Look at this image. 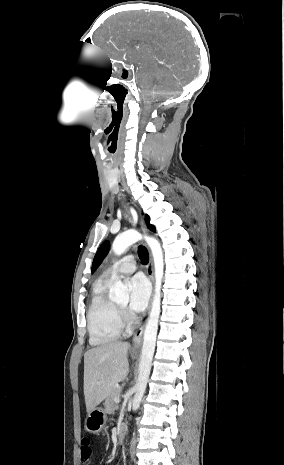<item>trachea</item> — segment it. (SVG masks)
I'll return each mask as SVG.
<instances>
[{
	"label": "trachea",
	"instance_id": "trachea-1",
	"mask_svg": "<svg viewBox=\"0 0 284 465\" xmlns=\"http://www.w3.org/2000/svg\"><path fill=\"white\" fill-rule=\"evenodd\" d=\"M138 255H139L141 262L144 263L145 265L149 262V254L147 252V249L143 247L142 245L138 247Z\"/></svg>",
	"mask_w": 284,
	"mask_h": 465
}]
</instances>
